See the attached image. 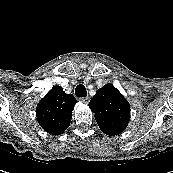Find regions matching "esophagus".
<instances>
[{
  "instance_id": "34e87169",
  "label": "esophagus",
  "mask_w": 173,
  "mask_h": 173,
  "mask_svg": "<svg viewBox=\"0 0 173 173\" xmlns=\"http://www.w3.org/2000/svg\"><path fill=\"white\" fill-rule=\"evenodd\" d=\"M81 102L85 103V104H88L89 101H90V98L89 97H83L80 99Z\"/></svg>"
}]
</instances>
